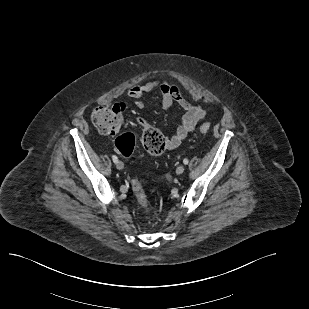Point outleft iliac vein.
Instances as JSON below:
<instances>
[{"label": "left iliac vein", "instance_id": "1", "mask_svg": "<svg viewBox=\"0 0 309 309\" xmlns=\"http://www.w3.org/2000/svg\"><path fill=\"white\" fill-rule=\"evenodd\" d=\"M184 170H185V167L183 165H180L176 168V173L178 175H181L184 172Z\"/></svg>", "mask_w": 309, "mask_h": 309}]
</instances>
